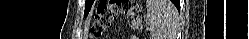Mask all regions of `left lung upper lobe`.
I'll list each match as a JSON object with an SVG mask.
<instances>
[{"label": "left lung upper lobe", "mask_w": 249, "mask_h": 39, "mask_svg": "<svg viewBox=\"0 0 249 39\" xmlns=\"http://www.w3.org/2000/svg\"><path fill=\"white\" fill-rule=\"evenodd\" d=\"M93 4V1L92 0H86V3H85V15H87L91 9V6Z\"/></svg>", "instance_id": "1"}]
</instances>
